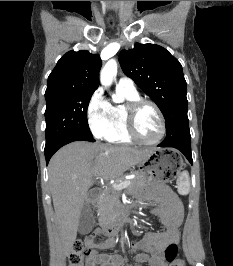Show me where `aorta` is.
Wrapping results in <instances>:
<instances>
[{
	"label": "aorta",
	"instance_id": "aorta-1",
	"mask_svg": "<svg viewBox=\"0 0 233 266\" xmlns=\"http://www.w3.org/2000/svg\"><path fill=\"white\" fill-rule=\"evenodd\" d=\"M117 75V62L115 60H109L100 72V82L103 86H111L113 80ZM112 99L116 103L122 102V99L118 96H112Z\"/></svg>",
	"mask_w": 233,
	"mask_h": 266
}]
</instances>
